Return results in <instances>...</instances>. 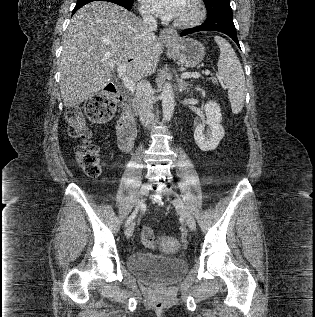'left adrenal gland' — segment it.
Wrapping results in <instances>:
<instances>
[{
    "mask_svg": "<svg viewBox=\"0 0 315 317\" xmlns=\"http://www.w3.org/2000/svg\"><path fill=\"white\" fill-rule=\"evenodd\" d=\"M177 85H178V91L180 93L187 91L188 92V86H190V84L188 82L183 81L182 79H179L177 77Z\"/></svg>",
    "mask_w": 315,
    "mask_h": 317,
    "instance_id": "left-adrenal-gland-1",
    "label": "left adrenal gland"
}]
</instances>
